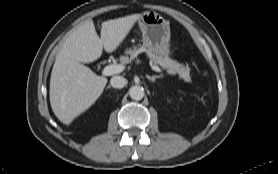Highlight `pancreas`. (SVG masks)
Here are the masks:
<instances>
[{"label": "pancreas", "mask_w": 278, "mask_h": 174, "mask_svg": "<svg viewBox=\"0 0 278 174\" xmlns=\"http://www.w3.org/2000/svg\"><path fill=\"white\" fill-rule=\"evenodd\" d=\"M142 50H145L148 58L154 64L160 65L162 68L166 69L169 74H178L180 79H183L185 82H190V69L188 66L179 64L177 61L170 59L168 56H165L161 53L154 52L145 46H142L140 49L134 48L133 50H128L127 53L131 58L136 57ZM120 61L123 64H127L130 59L127 56H122Z\"/></svg>", "instance_id": "pancreas-1"}]
</instances>
